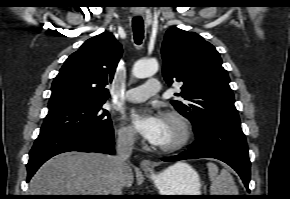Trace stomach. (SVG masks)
<instances>
[{"label": "stomach", "instance_id": "0dacf381", "mask_svg": "<svg viewBox=\"0 0 290 199\" xmlns=\"http://www.w3.org/2000/svg\"><path fill=\"white\" fill-rule=\"evenodd\" d=\"M146 176L155 183L161 195H200L201 193L200 177L186 163H176L159 174L147 172Z\"/></svg>", "mask_w": 290, "mask_h": 199}]
</instances>
